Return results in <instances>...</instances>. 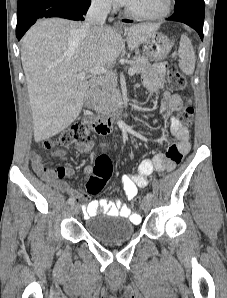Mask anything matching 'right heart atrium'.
Listing matches in <instances>:
<instances>
[{"label":"right heart atrium","instance_id":"right-heart-atrium-1","mask_svg":"<svg viewBox=\"0 0 227 298\" xmlns=\"http://www.w3.org/2000/svg\"><path fill=\"white\" fill-rule=\"evenodd\" d=\"M94 5L101 10H108L112 6V0H92Z\"/></svg>","mask_w":227,"mask_h":298}]
</instances>
